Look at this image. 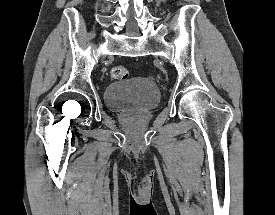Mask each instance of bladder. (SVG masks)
Returning <instances> with one entry per match:
<instances>
[{
	"instance_id": "bladder-1",
	"label": "bladder",
	"mask_w": 275,
	"mask_h": 215,
	"mask_svg": "<svg viewBox=\"0 0 275 215\" xmlns=\"http://www.w3.org/2000/svg\"><path fill=\"white\" fill-rule=\"evenodd\" d=\"M104 101L114 112L147 111L159 104L160 92L152 80L133 77L110 82L104 89Z\"/></svg>"
}]
</instances>
